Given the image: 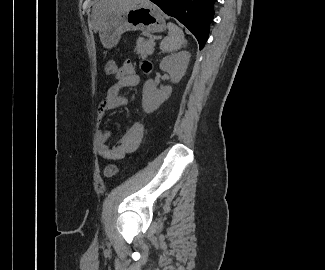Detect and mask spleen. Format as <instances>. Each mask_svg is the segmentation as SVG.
I'll return each instance as SVG.
<instances>
[{
  "label": "spleen",
  "instance_id": "spleen-1",
  "mask_svg": "<svg viewBox=\"0 0 325 270\" xmlns=\"http://www.w3.org/2000/svg\"><path fill=\"white\" fill-rule=\"evenodd\" d=\"M168 36L160 43V49L164 52H172L181 49L185 43L184 33L182 29L173 23H168Z\"/></svg>",
  "mask_w": 325,
  "mask_h": 270
}]
</instances>
